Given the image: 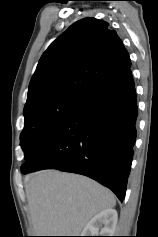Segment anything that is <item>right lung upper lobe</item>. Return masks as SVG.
<instances>
[{"instance_id": "cb5924a9", "label": "right lung upper lobe", "mask_w": 158, "mask_h": 237, "mask_svg": "<svg viewBox=\"0 0 158 237\" xmlns=\"http://www.w3.org/2000/svg\"><path fill=\"white\" fill-rule=\"evenodd\" d=\"M130 57L108 23L84 18L43 53L30 81L24 110L47 99L85 101L130 68Z\"/></svg>"}]
</instances>
